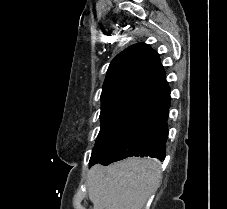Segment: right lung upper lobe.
I'll list each match as a JSON object with an SVG mask.
<instances>
[{
	"label": "right lung upper lobe",
	"instance_id": "obj_1",
	"mask_svg": "<svg viewBox=\"0 0 227 209\" xmlns=\"http://www.w3.org/2000/svg\"><path fill=\"white\" fill-rule=\"evenodd\" d=\"M170 95L159 54L150 45L138 43L111 62L101 94V112L118 99L154 107Z\"/></svg>",
	"mask_w": 227,
	"mask_h": 209
}]
</instances>
